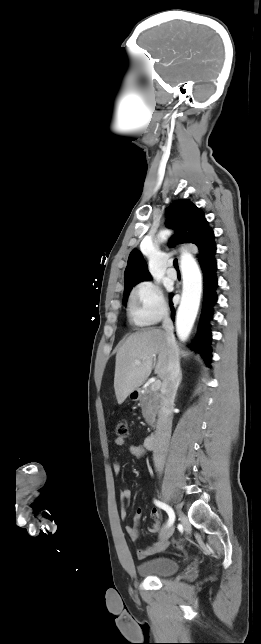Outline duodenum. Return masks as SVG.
<instances>
[{
    "label": "duodenum",
    "instance_id": "obj_1",
    "mask_svg": "<svg viewBox=\"0 0 261 644\" xmlns=\"http://www.w3.org/2000/svg\"><path fill=\"white\" fill-rule=\"evenodd\" d=\"M141 397H142V392L138 391L136 394V399L139 400L141 399ZM157 438H158L157 433H152L148 435L144 440V446L149 450L154 449L157 443Z\"/></svg>",
    "mask_w": 261,
    "mask_h": 644
}]
</instances>
